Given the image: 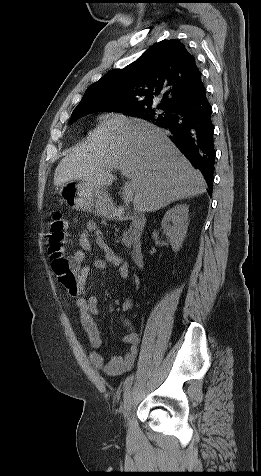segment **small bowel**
I'll list each match as a JSON object with an SVG mask.
<instances>
[{"label": "small bowel", "instance_id": "1", "mask_svg": "<svg viewBox=\"0 0 261 476\" xmlns=\"http://www.w3.org/2000/svg\"><path fill=\"white\" fill-rule=\"evenodd\" d=\"M91 236L94 237L95 243L103 251V256L95 259L93 266L99 270L114 267L117 269L120 278L124 281L130 277L129 264L109 247L97 224L93 220H88L85 229L78 237L80 249L74 252L71 259L78 275L77 288L75 290H68V292L76 299L81 325L93 349L89 355L91 364L106 375L118 376L130 371L134 367L138 357L140 337L134 330L131 322L123 318L122 324L125 328L123 341L128 345L125 354L105 360L98 351L103 346V339L95 322V317L99 313L98 299L95 296H86L85 284L90 274L91 266L89 264L82 265L86 260L87 253L92 249ZM132 305L131 297L127 296L122 301L120 307L123 312H127L132 308Z\"/></svg>", "mask_w": 261, "mask_h": 476}]
</instances>
